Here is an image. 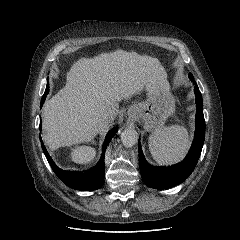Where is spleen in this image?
<instances>
[{
  "instance_id": "3e777b00",
  "label": "spleen",
  "mask_w": 240,
  "mask_h": 240,
  "mask_svg": "<svg viewBox=\"0 0 240 240\" xmlns=\"http://www.w3.org/2000/svg\"><path fill=\"white\" fill-rule=\"evenodd\" d=\"M189 147L187 129L180 125L155 130L149 137L153 159L161 165L179 161Z\"/></svg>"
}]
</instances>
